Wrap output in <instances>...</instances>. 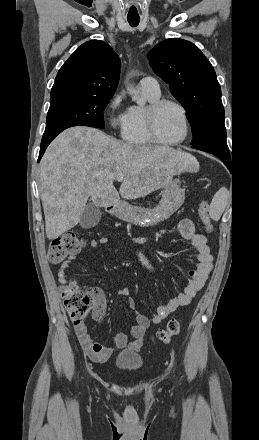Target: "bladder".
I'll return each mask as SVG.
<instances>
[{"mask_svg": "<svg viewBox=\"0 0 259 440\" xmlns=\"http://www.w3.org/2000/svg\"><path fill=\"white\" fill-rule=\"evenodd\" d=\"M119 370H136L143 364L142 356L134 351H121L115 358L114 362Z\"/></svg>", "mask_w": 259, "mask_h": 440, "instance_id": "1", "label": "bladder"}]
</instances>
